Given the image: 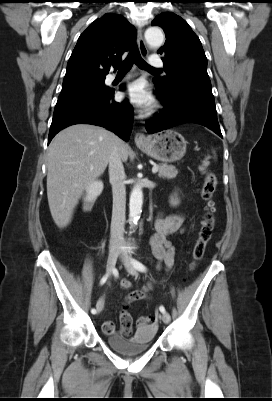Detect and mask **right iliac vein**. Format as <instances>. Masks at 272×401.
<instances>
[{
	"instance_id": "63e3f726",
	"label": "right iliac vein",
	"mask_w": 272,
	"mask_h": 401,
	"mask_svg": "<svg viewBox=\"0 0 272 401\" xmlns=\"http://www.w3.org/2000/svg\"><path fill=\"white\" fill-rule=\"evenodd\" d=\"M119 256V251L116 247H112L109 250V254H108V259H107V274L111 275L112 271L115 267V264L117 262ZM101 308H99V306L97 305V312H100Z\"/></svg>"
}]
</instances>
